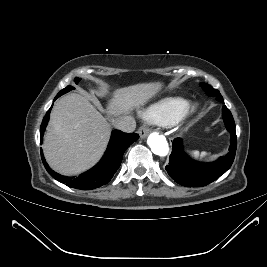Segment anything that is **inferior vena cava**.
<instances>
[{"instance_id": "obj_1", "label": "inferior vena cava", "mask_w": 267, "mask_h": 267, "mask_svg": "<svg viewBox=\"0 0 267 267\" xmlns=\"http://www.w3.org/2000/svg\"><path fill=\"white\" fill-rule=\"evenodd\" d=\"M113 126L123 132H133L136 128V122L131 116H120L112 121Z\"/></svg>"}]
</instances>
